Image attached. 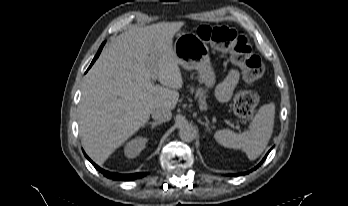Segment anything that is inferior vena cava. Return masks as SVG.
Returning a JSON list of instances; mask_svg holds the SVG:
<instances>
[{
  "instance_id": "inferior-vena-cava-1",
  "label": "inferior vena cava",
  "mask_w": 348,
  "mask_h": 206,
  "mask_svg": "<svg viewBox=\"0 0 348 206\" xmlns=\"http://www.w3.org/2000/svg\"><path fill=\"white\" fill-rule=\"evenodd\" d=\"M152 118L157 122H167L172 118V112L170 109L163 107H157L152 111Z\"/></svg>"
}]
</instances>
